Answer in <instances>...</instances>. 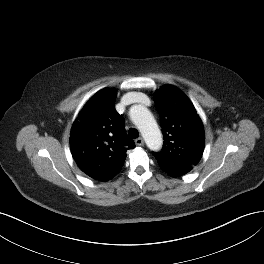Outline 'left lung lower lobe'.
Returning a JSON list of instances; mask_svg holds the SVG:
<instances>
[{
	"label": "left lung lower lobe",
	"mask_w": 264,
	"mask_h": 264,
	"mask_svg": "<svg viewBox=\"0 0 264 264\" xmlns=\"http://www.w3.org/2000/svg\"><path fill=\"white\" fill-rule=\"evenodd\" d=\"M184 174L185 173H178V172L177 173H173V174L172 173H169V175L170 176H173V177H179V176L184 175Z\"/></svg>",
	"instance_id": "obj_1"
}]
</instances>
